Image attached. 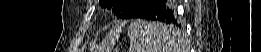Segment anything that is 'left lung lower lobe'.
<instances>
[{
    "label": "left lung lower lobe",
    "instance_id": "0a47b994",
    "mask_svg": "<svg viewBox=\"0 0 261 52\" xmlns=\"http://www.w3.org/2000/svg\"><path fill=\"white\" fill-rule=\"evenodd\" d=\"M136 18L159 20L171 24V35L176 31L172 25H177L175 15L172 10L166 5L165 0H155L148 8L141 12Z\"/></svg>",
    "mask_w": 261,
    "mask_h": 52
}]
</instances>
